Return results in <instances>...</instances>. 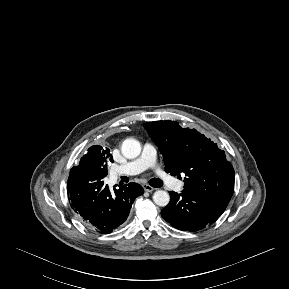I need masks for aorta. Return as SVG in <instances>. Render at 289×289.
<instances>
[{
    "mask_svg": "<svg viewBox=\"0 0 289 289\" xmlns=\"http://www.w3.org/2000/svg\"><path fill=\"white\" fill-rule=\"evenodd\" d=\"M123 155L128 159H134L141 153V144L135 139H126L121 147ZM153 201L160 207H165L170 201L168 192L164 190H157L153 195Z\"/></svg>",
    "mask_w": 289,
    "mask_h": 289,
    "instance_id": "obj_1",
    "label": "aorta"
}]
</instances>
